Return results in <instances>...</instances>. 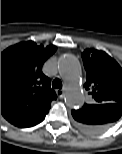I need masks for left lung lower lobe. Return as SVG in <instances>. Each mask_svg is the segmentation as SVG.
<instances>
[{
  "instance_id": "left-lung-lower-lobe-1",
  "label": "left lung lower lobe",
  "mask_w": 122,
  "mask_h": 154,
  "mask_svg": "<svg viewBox=\"0 0 122 154\" xmlns=\"http://www.w3.org/2000/svg\"><path fill=\"white\" fill-rule=\"evenodd\" d=\"M122 115V104H85L77 111L75 124L88 133L101 132L109 128Z\"/></svg>"
}]
</instances>
